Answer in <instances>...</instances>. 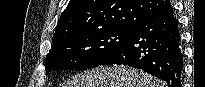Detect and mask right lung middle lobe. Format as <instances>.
Segmentation results:
<instances>
[{
    "instance_id": "right-lung-middle-lobe-1",
    "label": "right lung middle lobe",
    "mask_w": 205,
    "mask_h": 87,
    "mask_svg": "<svg viewBox=\"0 0 205 87\" xmlns=\"http://www.w3.org/2000/svg\"><path fill=\"white\" fill-rule=\"evenodd\" d=\"M134 30L107 28L79 33L53 43L46 56L51 70H85L101 65L118 51Z\"/></svg>"
}]
</instances>
